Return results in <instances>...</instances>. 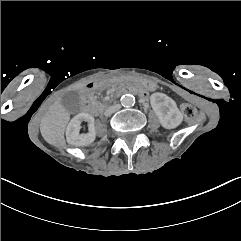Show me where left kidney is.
<instances>
[{"mask_svg": "<svg viewBox=\"0 0 241 241\" xmlns=\"http://www.w3.org/2000/svg\"><path fill=\"white\" fill-rule=\"evenodd\" d=\"M150 103L164 128L173 129L181 124L183 115L170 97L159 92L153 93L150 96Z\"/></svg>", "mask_w": 241, "mask_h": 241, "instance_id": "left-kidney-1", "label": "left kidney"}]
</instances>
